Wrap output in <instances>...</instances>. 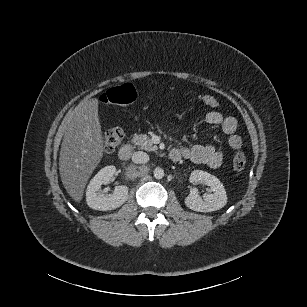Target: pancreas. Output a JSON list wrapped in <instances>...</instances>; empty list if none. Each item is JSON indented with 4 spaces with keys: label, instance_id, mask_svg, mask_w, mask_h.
I'll list each match as a JSON object with an SVG mask.
<instances>
[{
    "label": "pancreas",
    "instance_id": "1",
    "mask_svg": "<svg viewBox=\"0 0 307 307\" xmlns=\"http://www.w3.org/2000/svg\"><path fill=\"white\" fill-rule=\"evenodd\" d=\"M132 142L140 145L146 151L157 150V146H153L151 139L146 134H140L133 138Z\"/></svg>",
    "mask_w": 307,
    "mask_h": 307
}]
</instances>
